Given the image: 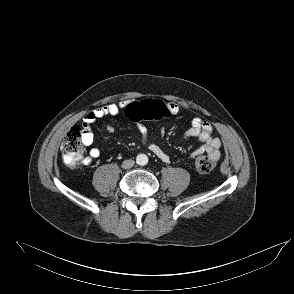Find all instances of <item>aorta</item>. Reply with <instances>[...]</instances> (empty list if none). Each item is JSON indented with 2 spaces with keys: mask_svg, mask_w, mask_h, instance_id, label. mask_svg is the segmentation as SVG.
<instances>
[{
  "mask_svg": "<svg viewBox=\"0 0 294 294\" xmlns=\"http://www.w3.org/2000/svg\"><path fill=\"white\" fill-rule=\"evenodd\" d=\"M136 162L138 165H146L148 163V157L145 154H138L136 157Z\"/></svg>",
  "mask_w": 294,
  "mask_h": 294,
  "instance_id": "762f6f07",
  "label": "aorta"
}]
</instances>
